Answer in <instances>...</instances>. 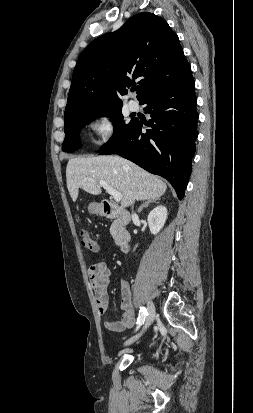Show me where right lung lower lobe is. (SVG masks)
<instances>
[{
	"label": "right lung lower lobe",
	"instance_id": "obj_1",
	"mask_svg": "<svg viewBox=\"0 0 253 413\" xmlns=\"http://www.w3.org/2000/svg\"><path fill=\"white\" fill-rule=\"evenodd\" d=\"M195 82L191 69L177 83L147 95L150 129L141 132L142 123L133 124L100 155L116 153L149 171L166 178L184 197L197 138Z\"/></svg>",
	"mask_w": 253,
	"mask_h": 413
}]
</instances>
